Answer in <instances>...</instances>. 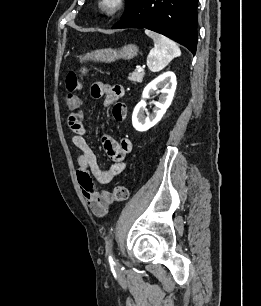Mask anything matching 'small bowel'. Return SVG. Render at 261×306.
<instances>
[{"instance_id": "obj_1", "label": "small bowel", "mask_w": 261, "mask_h": 306, "mask_svg": "<svg viewBox=\"0 0 261 306\" xmlns=\"http://www.w3.org/2000/svg\"><path fill=\"white\" fill-rule=\"evenodd\" d=\"M125 90L121 85H109L95 83L91 87L93 98L103 97L104 106L112 107L113 118L121 122L127 114L126 106L120 102ZM69 125L73 131L72 143L79 150L77 179L87 205L95 216L102 217L107 214L109 207L114 202L112 194L99 189L96 183L105 185L111 183L126 168V159L132 150V142L128 138L115 140L109 136H103L104 148L114 163L103 169L97 161V157L86 139V114L79 109L70 117Z\"/></svg>"}]
</instances>
